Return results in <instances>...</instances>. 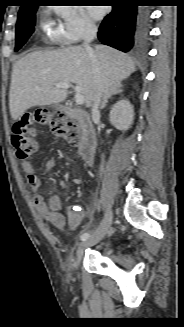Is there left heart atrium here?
<instances>
[{"mask_svg":"<svg viewBox=\"0 0 184 327\" xmlns=\"http://www.w3.org/2000/svg\"><path fill=\"white\" fill-rule=\"evenodd\" d=\"M102 13L103 11L101 8L94 7L90 9V15L95 19L100 18L102 16Z\"/></svg>","mask_w":184,"mask_h":327,"instance_id":"39dd6f15","label":"left heart atrium"}]
</instances>
